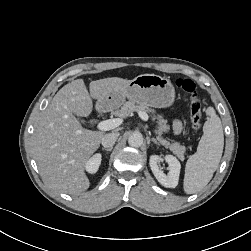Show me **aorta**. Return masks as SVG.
<instances>
[{"mask_svg": "<svg viewBox=\"0 0 251 251\" xmlns=\"http://www.w3.org/2000/svg\"><path fill=\"white\" fill-rule=\"evenodd\" d=\"M128 144L131 147H140L143 144V136L139 132L133 133L131 136L128 138Z\"/></svg>", "mask_w": 251, "mask_h": 251, "instance_id": "obj_1", "label": "aorta"}]
</instances>
